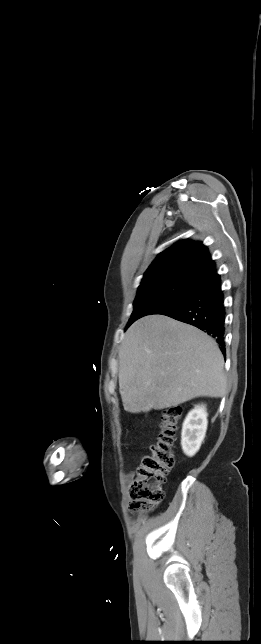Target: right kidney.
I'll return each instance as SVG.
<instances>
[{
	"instance_id": "obj_1",
	"label": "right kidney",
	"mask_w": 261,
	"mask_h": 644,
	"mask_svg": "<svg viewBox=\"0 0 261 644\" xmlns=\"http://www.w3.org/2000/svg\"><path fill=\"white\" fill-rule=\"evenodd\" d=\"M207 412L204 405H198L186 416L181 433V445L187 456H194L204 440L207 430Z\"/></svg>"
}]
</instances>
